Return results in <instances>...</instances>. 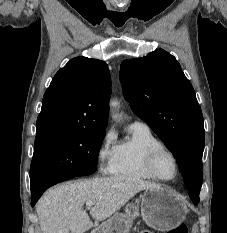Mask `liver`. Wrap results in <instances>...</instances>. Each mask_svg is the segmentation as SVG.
I'll use <instances>...</instances> for the list:
<instances>
[{
  "label": "liver",
  "instance_id": "liver-1",
  "mask_svg": "<svg viewBox=\"0 0 227 233\" xmlns=\"http://www.w3.org/2000/svg\"><path fill=\"white\" fill-rule=\"evenodd\" d=\"M158 187L125 176L93 178L56 186L37 203L42 233H85L92 227V221L83 209L86 202H94L90 215L97 221H104L138 192Z\"/></svg>",
  "mask_w": 227,
  "mask_h": 233
}]
</instances>
